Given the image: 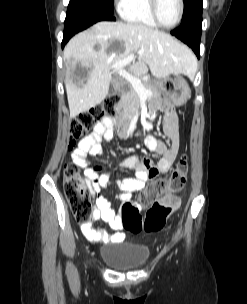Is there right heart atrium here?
<instances>
[{
	"label": "right heart atrium",
	"instance_id": "1",
	"mask_svg": "<svg viewBox=\"0 0 247 304\" xmlns=\"http://www.w3.org/2000/svg\"><path fill=\"white\" fill-rule=\"evenodd\" d=\"M116 5L121 8L126 0H114Z\"/></svg>",
	"mask_w": 247,
	"mask_h": 304
}]
</instances>
